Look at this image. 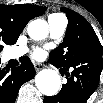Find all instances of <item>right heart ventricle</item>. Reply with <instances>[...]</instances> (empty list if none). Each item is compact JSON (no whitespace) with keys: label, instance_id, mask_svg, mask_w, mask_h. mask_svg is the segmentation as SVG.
<instances>
[{"label":"right heart ventricle","instance_id":"obj_1","mask_svg":"<svg viewBox=\"0 0 103 103\" xmlns=\"http://www.w3.org/2000/svg\"><path fill=\"white\" fill-rule=\"evenodd\" d=\"M57 15H59V14L54 13V14H51L50 16H57Z\"/></svg>","mask_w":103,"mask_h":103}]
</instances>
